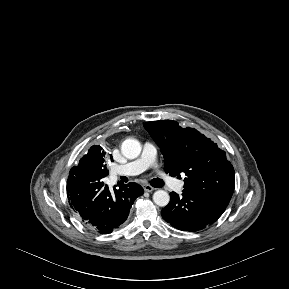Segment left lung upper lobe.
<instances>
[{
  "instance_id": "5c2ea615",
  "label": "left lung upper lobe",
  "mask_w": 289,
  "mask_h": 289,
  "mask_svg": "<svg viewBox=\"0 0 289 289\" xmlns=\"http://www.w3.org/2000/svg\"><path fill=\"white\" fill-rule=\"evenodd\" d=\"M144 127L164 155L166 173L180 176L183 172L184 189L229 204L235 185L234 168L216 143L172 120L146 122Z\"/></svg>"
}]
</instances>
